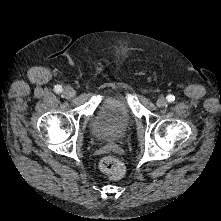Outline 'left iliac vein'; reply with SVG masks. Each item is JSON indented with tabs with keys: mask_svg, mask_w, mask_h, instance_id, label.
<instances>
[{
	"mask_svg": "<svg viewBox=\"0 0 221 221\" xmlns=\"http://www.w3.org/2000/svg\"><path fill=\"white\" fill-rule=\"evenodd\" d=\"M158 107H164L167 104V101L164 97H160L156 102Z\"/></svg>",
	"mask_w": 221,
	"mask_h": 221,
	"instance_id": "left-iliac-vein-1",
	"label": "left iliac vein"
}]
</instances>
